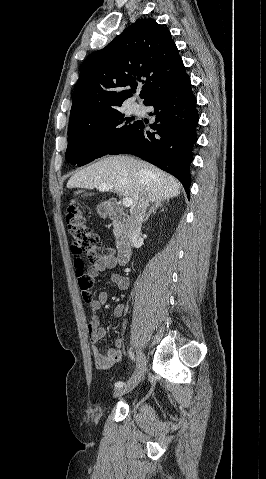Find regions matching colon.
I'll return each mask as SVG.
<instances>
[{
  "label": "colon",
  "instance_id": "5ec220e1",
  "mask_svg": "<svg viewBox=\"0 0 266 479\" xmlns=\"http://www.w3.org/2000/svg\"><path fill=\"white\" fill-rule=\"evenodd\" d=\"M66 223L72 239L70 246L77 282L82 296L86 300L92 298L93 278L85 269L87 263L94 262L102 250L100 236L90 230L85 212L76 206H70L66 214Z\"/></svg>",
  "mask_w": 266,
  "mask_h": 479
}]
</instances>
